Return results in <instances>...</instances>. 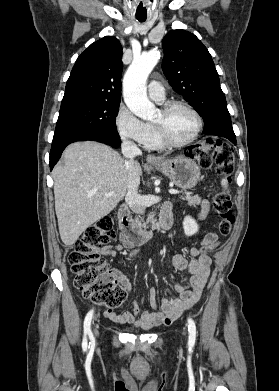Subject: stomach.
Here are the masks:
<instances>
[{"mask_svg":"<svg viewBox=\"0 0 279 391\" xmlns=\"http://www.w3.org/2000/svg\"><path fill=\"white\" fill-rule=\"evenodd\" d=\"M154 167L166 175L176 186L191 189L200 179V169L196 162L185 156L172 159L161 158Z\"/></svg>","mask_w":279,"mask_h":391,"instance_id":"stomach-1","label":"stomach"}]
</instances>
